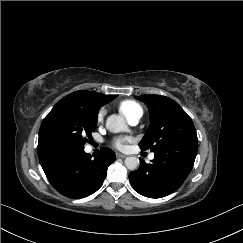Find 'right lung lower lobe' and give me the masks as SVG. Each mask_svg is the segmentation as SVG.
I'll return each instance as SVG.
<instances>
[{
  "mask_svg": "<svg viewBox=\"0 0 243 243\" xmlns=\"http://www.w3.org/2000/svg\"><path fill=\"white\" fill-rule=\"evenodd\" d=\"M51 185L62 195L78 199L97 191L115 161V153L102 148L92 158L83 148H54L38 153Z\"/></svg>",
  "mask_w": 243,
  "mask_h": 243,
  "instance_id": "right-lung-lower-lobe-1",
  "label": "right lung lower lobe"
}]
</instances>
